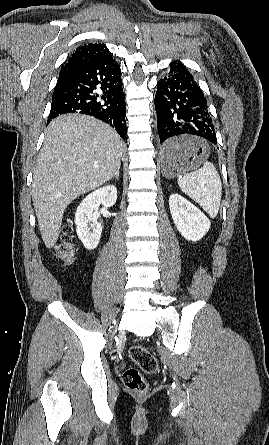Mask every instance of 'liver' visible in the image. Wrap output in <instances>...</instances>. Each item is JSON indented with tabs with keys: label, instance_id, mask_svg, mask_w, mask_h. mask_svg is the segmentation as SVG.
<instances>
[{
	"label": "liver",
	"instance_id": "6515ba94",
	"mask_svg": "<svg viewBox=\"0 0 269 445\" xmlns=\"http://www.w3.org/2000/svg\"><path fill=\"white\" fill-rule=\"evenodd\" d=\"M123 148L117 132L91 116L67 114L49 124L32 183L33 205L47 248L58 240L67 206L113 177Z\"/></svg>",
	"mask_w": 269,
	"mask_h": 445
}]
</instances>
